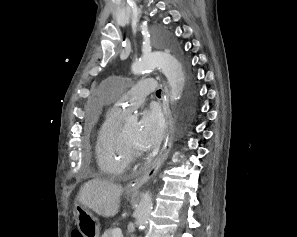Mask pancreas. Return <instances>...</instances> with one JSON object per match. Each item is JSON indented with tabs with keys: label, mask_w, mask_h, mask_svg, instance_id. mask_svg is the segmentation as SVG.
<instances>
[{
	"label": "pancreas",
	"mask_w": 297,
	"mask_h": 237,
	"mask_svg": "<svg viewBox=\"0 0 297 237\" xmlns=\"http://www.w3.org/2000/svg\"><path fill=\"white\" fill-rule=\"evenodd\" d=\"M112 232H113V229H108L106 230L101 237H112Z\"/></svg>",
	"instance_id": "1"
}]
</instances>
